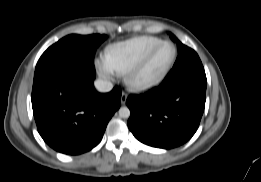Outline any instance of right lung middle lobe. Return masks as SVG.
Masks as SVG:
<instances>
[{
  "mask_svg": "<svg viewBox=\"0 0 261 182\" xmlns=\"http://www.w3.org/2000/svg\"><path fill=\"white\" fill-rule=\"evenodd\" d=\"M106 35H68L50 46L40 57L36 67L64 55H78L92 64L96 48L106 39Z\"/></svg>",
  "mask_w": 261,
  "mask_h": 182,
  "instance_id": "obj_1",
  "label": "right lung middle lobe"
}]
</instances>
